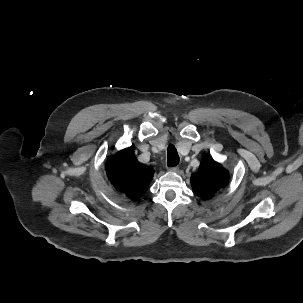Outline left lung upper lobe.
<instances>
[{
	"instance_id": "obj_1",
	"label": "left lung upper lobe",
	"mask_w": 303,
	"mask_h": 303,
	"mask_svg": "<svg viewBox=\"0 0 303 303\" xmlns=\"http://www.w3.org/2000/svg\"><path fill=\"white\" fill-rule=\"evenodd\" d=\"M228 177V172L208 156L201 162L198 172L191 177V185L198 196L208 198L227 182Z\"/></svg>"
}]
</instances>
